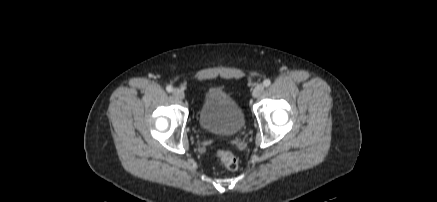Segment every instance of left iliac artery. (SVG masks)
<instances>
[{
  "instance_id": "left-iliac-artery-1",
  "label": "left iliac artery",
  "mask_w": 437,
  "mask_h": 202,
  "mask_svg": "<svg viewBox=\"0 0 437 202\" xmlns=\"http://www.w3.org/2000/svg\"><path fill=\"white\" fill-rule=\"evenodd\" d=\"M271 84V81L269 79L264 80L263 85L265 87H268Z\"/></svg>"
}]
</instances>
